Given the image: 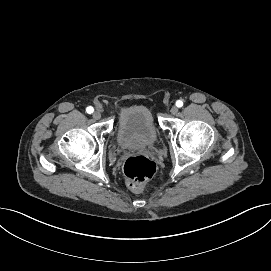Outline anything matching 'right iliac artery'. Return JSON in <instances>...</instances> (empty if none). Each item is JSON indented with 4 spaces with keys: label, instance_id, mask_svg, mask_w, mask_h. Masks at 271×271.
Returning <instances> with one entry per match:
<instances>
[{
    "label": "right iliac artery",
    "instance_id": "right-iliac-artery-1",
    "mask_svg": "<svg viewBox=\"0 0 271 271\" xmlns=\"http://www.w3.org/2000/svg\"><path fill=\"white\" fill-rule=\"evenodd\" d=\"M86 111H87V113L91 114L94 111V109H93V107L89 106V107H87Z\"/></svg>",
    "mask_w": 271,
    "mask_h": 271
}]
</instances>
